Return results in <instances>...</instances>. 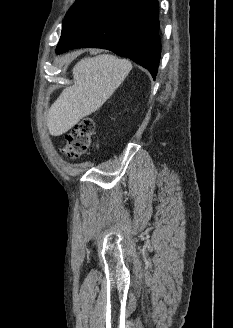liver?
I'll return each instance as SVG.
<instances>
[{
  "label": "liver",
  "mask_w": 233,
  "mask_h": 328,
  "mask_svg": "<svg viewBox=\"0 0 233 328\" xmlns=\"http://www.w3.org/2000/svg\"><path fill=\"white\" fill-rule=\"evenodd\" d=\"M132 69L126 59L109 54L87 57L73 68L74 84L66 87L47 113L50 135L60 136L97 111Z\"/></svg>",
  "instance_id": "1"
}]
</instances>
